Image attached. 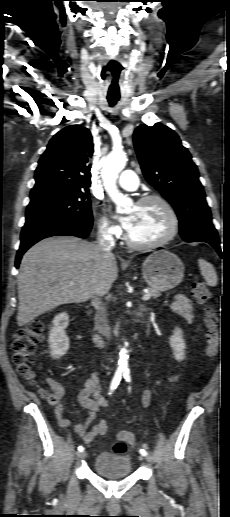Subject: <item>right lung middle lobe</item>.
<instances>
[{
  "instance_id": "dd1d6c3e",
  "label": "right lung middle lobe",
  "mask_w": 230,
  "mask_h": 517,
  "mask_svg": "<svg viewBox=\"0 0 230 517\" xmlns=\"http://www.w3.org/2000/svg\"><path fill=\"white\" fill-rule=\"evenodd\" d=\"M50 217L92 221L88 190L56 193L30 201L26 222Z\"/></svg>"
}]
</instances>
